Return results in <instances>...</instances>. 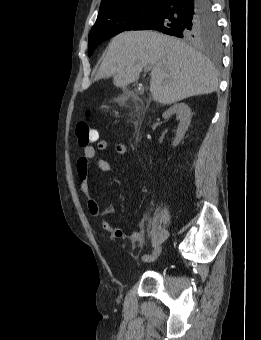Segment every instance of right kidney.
<instances>
[{
  "label": "right kidney",
  "mask_w": 261,
  "mask_h": 340,
  "mask_svg": "<svg viewBox=\"0 0 261 340\" xmlns=\"http://www.w3.org/2000/svg\"><path fill=\"white\" fill-rule=\"evenodd\" d=\"M173 114L177 115L180 123L176 131V137L172 143L173 146H177L183 139L185 132L190 125L192 113L191 109L185 103H178L170 107L167 111L163 113V118L167 119Z\"/></svg>",
  "instance_id": "right-kidney-1"
}]
</instances>
